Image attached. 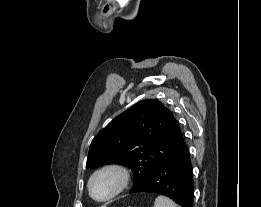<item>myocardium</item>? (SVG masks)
Listing matches in <instances>:
<instances>
[{"label": "myocardium", "instance_id": "myocardium-1", "mask_svg": "<svg viewBox=\"0 0 261 207\" xmlns=\"http://www.w3.org/2000/svg\"><path fill=\"white\" fill-rule=\"evenodd\" d=\"M112 174L113 176H115L116 178V186L114 188V190L105 198H96L93 195L92 192V183L94 181V179L96 177H98L99 175L102 174ZM130 181V174L128 172V170L119 164H108V165H104L102 167H100L99 169H97L95 172H93V174L90 176L89 181H88V192L90 197L99 203H104V202H108L110 200H112L113 198H115L116 196H118L120 193H122L128 186Z\"/></svg>", "mask_w": 261, "mask_h": 207}]
</instances>
